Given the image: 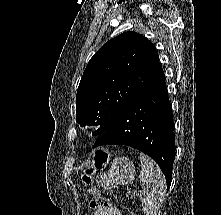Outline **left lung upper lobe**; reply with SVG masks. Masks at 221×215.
<instances>
[{"instance_id":"5c2ea615","label":"left lung upper lobe","mask_w":221,"mask_h":215,"mask_svg":"<svg viewBox=\"0 0 221 215\" xmlns=\"http://www.w3.org/2000/svg\"><path fill=\"white\" fill-rule=\"evenodd\" d=\"M164 74L154 45L126 32L109 40L89 60L76 95V121L105 132L123 111Z\"/></svg>"}]
</instances>
